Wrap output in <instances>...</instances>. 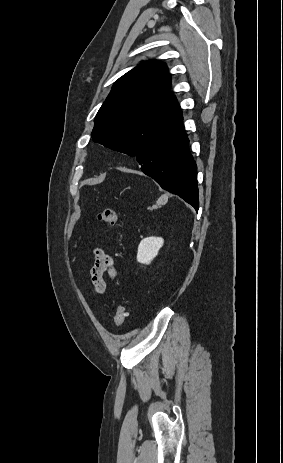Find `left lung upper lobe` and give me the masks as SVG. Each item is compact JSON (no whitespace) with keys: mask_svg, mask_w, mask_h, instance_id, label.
I'll list each match as a JSON object with an SVG mask.
<instances>
[{"mask_svg":"<svg viewBox=\"0 0 283 463\" xmlns=\"http://www.w3.org/2000/svg\"><path fill=\"white\" fill-rule=\"evenodd\" d=\"M164 63L150 60L120 77L95 117L92 139L131 157L181 114Z\"/></svg>","mask_w":283,"mask_h":463,"instance_id":"5c2ea615","label":"left lung upper lobe"}]
</instances>
